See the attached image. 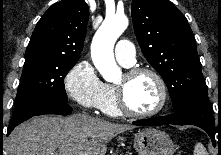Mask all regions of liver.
I'll return each instance as SVG.
<instances>
[{
	"label": "liver",
	"instance_id": "1",
	"mask_svg": "<svg viewBox=\"0 0 221 155\" xmlns=\"http://www.w3.org/2000/svg\"><path fill=\"white\" fill-rule=\"evenodd\" d=\"M74 114L62 118L39 116L17 126L6 144V155H105L106 143L133 129Z\"/></svg>",
	"mask_w": 221,
	"mask_h": 155
}]
</instances>
